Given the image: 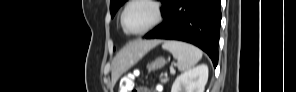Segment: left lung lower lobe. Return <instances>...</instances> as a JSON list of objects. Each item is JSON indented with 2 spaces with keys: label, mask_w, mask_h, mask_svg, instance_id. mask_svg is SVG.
<instances>
[{
  "label": "left lung lower lobe",
  "mask_w": 296,
  "mask_h": 92,
  "mask_svg": "<svg viewBox=\"0 0 296 92\" xmlns=\"http://www.w3.org/2000/svg\"><path fill=\"white\" fill-rule=\"evenodd\" d=\"M162 24L145 39H171L194 44L205 51L216 67L218 63L220 0H169Z\"/></svg>",
  "instance_id": "0a47b994"
}]
</instances>
